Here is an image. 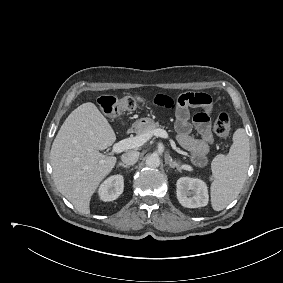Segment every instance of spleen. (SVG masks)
Listing matches in <instances>:
<instances>
[{
	"label": "spleen",
	"instance_id": "3e777b00",
	"mask_svg": "<svg viewBox=\"0 0 283 283\" xmlns=\"http://www.w3.org/2000/svg\"><path fill=\"white\" fill-rule=\"evenodd\" d=\"M249 139L243 128L233 135V144L227 155H217L211 164L213 182L210 188L211 205L215 211L223 210L240 193L249 166Z\"/></svg>",
	"mask_w": 283,
	"mask_h": 283
}]
</instances>
